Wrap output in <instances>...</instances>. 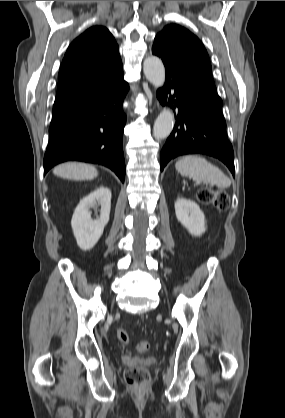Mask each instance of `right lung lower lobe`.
Returning <instances> with one entry per match:
<instances>
[{"instance_id": "right-lung-lower-lobe-1", "label": "right lung lower lobe", "mask_w": 285, "mask_h": 418, "mask_svg": "<svg viewBox=\"0 0 285 418\" xmlns=\"http://www.w3.org/2000/svg\"><path fill=\"white\" fill-rule=\"evenodd\" d=\"M129 86L123 77L87 98L53 112L44 174L65 161L104 165L125 178L122 111Z\"/></svg>"}]
</instances>
